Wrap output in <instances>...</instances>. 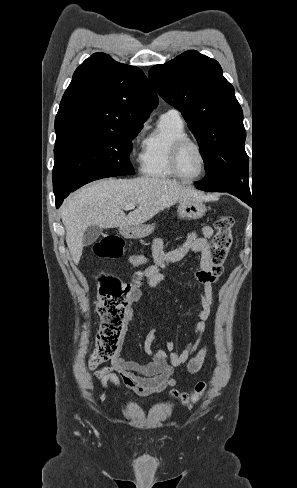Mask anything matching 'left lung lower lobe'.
<instances>
[{
  "label": "left lung lower lobe",
  "mask_w": 297,
  "mask_h": 488,
  "mask_svg": "<svg viewBox=\"0 0 297 488\" xmlns=\"http://www.w3.org/2000/svg\"><path fill=\"white\" fill-rule=\"evenodd\" d=\"M236 196V195H235ZM239 199H241L243 202H245L246 204H248L249 206H252V200H251V197H241V196H237Z\"/></svg>",
  "instance_id": "0a47b994"
}]
</instances>
